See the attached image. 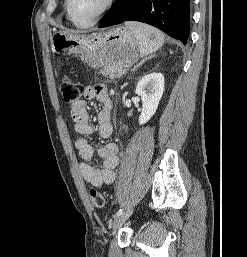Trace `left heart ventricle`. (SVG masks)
Here are the masks:
<instances>
[{
  "instance_id": "left-heart-ventricle-1",
  "label": "left heart ventricle",
  "mask_w": 247,
  "mask_h": 257,
  "mask_svg": "<svg viewBox=\"0 0 247 257\" xmlns=\"http://www.w3.org/2000/svg\"><path fill=\"white\" fill-rule=\"evenodd\" d=\"M104 3L105 0H71L70 11L77 22L85 24L97 15Z\"/></svg>"
}]
</instances>
